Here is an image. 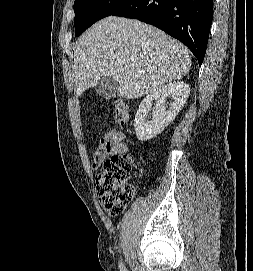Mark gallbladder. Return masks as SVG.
Returning <instances> with one entry per match:
<instances>
[{
    "label": "gallbladder",
    "instance_id": "gallbladder-1",
    "mask_svg": "<svg viewBox=\"0 0 253 271\" xmlns=\"http://www.w3.org/2000/svg\"><path fill=\"white\" fill-rule=\"evenodd\" d=\"M118 84L112 78L103 77L95 86L96 93L104 99H109L116 95Z\"/></svg>",
    "mask_w": 253,
    "mask_h": 271
}]
</instances>
